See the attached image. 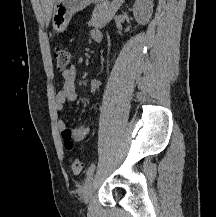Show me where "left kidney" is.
<instances>
[{"label":"left kidney","mask_w":216,"mask_h":217,"mask_svg":"<svg viewBox=\"0 0 216 217\" xmlns=\"http://www.w3.org/2000/svg\"><path fill=\"white\" fill-rule=\"evenodd\" d=\"M153 13V0H136L133 6V15L142 25L147 24Z\"/></svg>","instance_id":"1"}]
</instances>
